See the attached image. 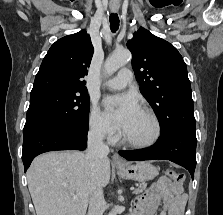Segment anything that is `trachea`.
Wrapping results in <instances>:
<instances>
[{"label":"trachea","mask_w":223,"mask_h":215,"mask_svg":"<svg viewBox=\"0 0 223 215\" xmlns=\"http://www.w3.org/2000/svg\"><path fill=\"white\" fill-rule=\"evenodd\" d=\"M110 29L113 33H115L118 30L119 27V17L116 13H111L110 17Z\"/></svg>","instance_id":"trachea-1"}]
</instances>
